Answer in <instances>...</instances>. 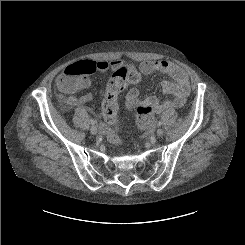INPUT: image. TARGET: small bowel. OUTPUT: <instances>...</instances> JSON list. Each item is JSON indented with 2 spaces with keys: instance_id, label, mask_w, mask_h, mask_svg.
I'll return each mask as SVG.
<instances>
[{
  "instance_id": "small-bowel-1",
  "label": "small bowel",
  "mask_w": 245,
  "mask_h": 245,
  "mask_svg": "<svg viewBox=\"0 0 245 245\" xmlns=\"http://www.w3.org/2000/svg\"><path fill=\"white\" fill-rule=\"evenodd\" d=\"M95 63L97 66L96 71H111L113 73L112 77L124 68L123 61L119 59H113L111 61L100 60ZM138 68L144 76L159 72L172 78L173 81L167 80L162 83L163 92L170 95V98L164 101H161L156 97H148L142 100L140 98L139 89L137 87H132L128 90L125 98V103L128 109L133 110L137 107L139 103L143 102L145 104L151 105L155 113H161L162 111L172 107H182L186 103L187 97L190 92V84L186 72L179 66L168 60L163 59L156 61H144L138 66ZM65 77L66 72L64 71L56 79V84L61 91L63 90L59 87V82ZM85 82L86 87L90 85V79L88 77H86ZM108 87L109 84L107 85L105 90L101 92V96L103 98H105L108 93ZM91 100V94H86L81 97H75L72 95H68L65 97V102L70 106L85 104ZM101 129L103 133H106L107 128L105 126H102Z\"/></svg>"
}]
</instances>
